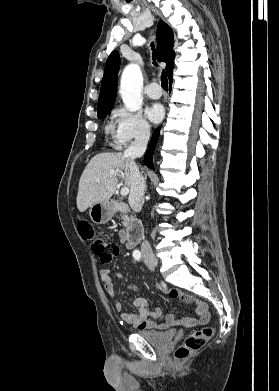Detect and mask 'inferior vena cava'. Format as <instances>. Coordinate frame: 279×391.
<instances>
[{"label": "inferior vena cava", "mask_w": 279, "mask_h": 391, "mask_svg": "<svg viewBox=\"0 0 279 391\" xmlns=\"http://www.w3.org/2000/svg\"><path fill=\"white\" fill-rule=\"evenodd\" d=\"M150 138V128L144 127L136 136L135 140L131 143L130 147L124 151V156L130 160V172H131V187L129 194V204L134 212H140L145 191V179L140 173L135 159L141 157L147 147L148 140ZM142 254L153 255L152 248L147 240H144L141 245Z\"/></svg>", "instance_id": "602c4592"}]
</instances>
